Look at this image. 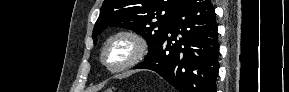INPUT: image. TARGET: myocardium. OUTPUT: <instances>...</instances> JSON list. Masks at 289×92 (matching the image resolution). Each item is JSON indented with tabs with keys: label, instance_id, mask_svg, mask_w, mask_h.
<instances>
[{
	"label": "myocardium",
	"instance_id": "myocardium-1",
	"mask_svg": "<svg viewBox=\"0 0 289 92\" xmlns=\"http://www.w3.org/2000/svg\"><path fill=\"white\" fill-rule=\"evenodd\" d=\"M126 40L131 45L130 55L122 63L112 65L108 61V51L113 42ZM148 53V43L146 39L137 31L132 29H121L111 34L103 43L100 50V61L102 65L112 73H118L130 69L139 64Z\"/></svg>",
	"mask_w": 289,
	"mask_h": 92
}]
</instances>
